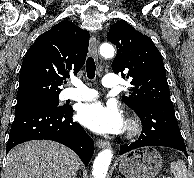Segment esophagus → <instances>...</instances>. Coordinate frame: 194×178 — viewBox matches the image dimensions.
<instances>
[{"label":"esophagus","mask_w":194,"mask_h":178,"mask_svg":"<svg viewBox=\"0 0 194 178\" xmlns=\"http://www.w3.org/2000/svg\"><path fill=\"white\" fill-rule=\"evenodd\" d=\"M98 43L96 40V37L94 35H92L90 37V42H89V52L91 54V56H93L96 60L98 59ZM96 145L98 148H108L111 146L110 142L105 141V140H98L96 142Z\"/></svg>","instance_id":"34e87169"}]
</instances>
